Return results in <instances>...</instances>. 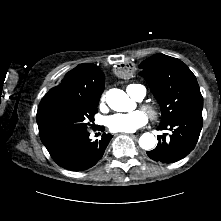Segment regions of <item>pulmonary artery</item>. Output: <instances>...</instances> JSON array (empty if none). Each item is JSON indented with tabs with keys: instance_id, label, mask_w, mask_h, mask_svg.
Returning a JSON list of instances; mask_svg holds the SVG:
<instances>
[{
	"instance_id": "pulmonary-artery-1",
	"label": "pulmonary artery",
	"mask_w": 221,
	"mask_h": 221,
	"mask_svg": "<svg viewBox=\"0 0 221 221\" xmlns=\"http://www.w3.org/2000/svg\"><path fill=\"white\" fill-rule=\"evenodd\" d=\"M127 92L136 100H142L145 97L146 89L139 84H131L127 88Z\"/></svg>"
}]
</instances>
